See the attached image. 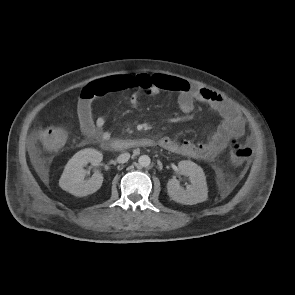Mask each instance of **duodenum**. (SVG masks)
Listing matches in <instances>:
<instances>
[{"label": "duodenum", "instance_id": "1", "mask_svg": "<svg viewBox=\"0 0 295 295\" xmlns=\"http://www.w3.org/2000/svg\"><path fill=\"white\" fill-rule=\"evenodd\" d=\"M154 142L151 139H125L108 140L101 142V146L106 151H124L138 147H150Z\"/></svg>", "mask_w": 295, "mask_h": 295}]
</instances>
